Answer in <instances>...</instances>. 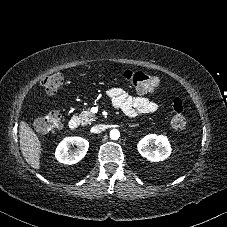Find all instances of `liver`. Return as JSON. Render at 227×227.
Wrapping results in <instances>:
<instances>
[{"mask_svg": "<svg viewBox=\"0 0 227 227\" xmlns=\"http://www.w3.org/2000/svg\"><path fill=\"white\" fill-rule=\"evenodd\" d=\"M19 139L24 159L33 169L39 170L41 143L32 128L24 121L20 122Z\"/></svg>", "mask_w": 227, "mask_h": 227, "instance_id": "obj_1", "label": "liver"}]
</instances>
